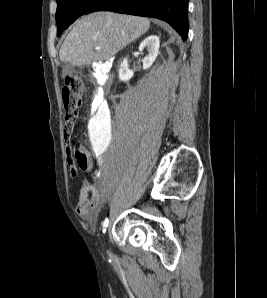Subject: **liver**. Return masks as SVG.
<instances>
[{
  "label": "liver",
  "mask_w": 267,
  "mask_h": 298,
  "mask_svg": "<svg viewBox=\"0 0 267 298\" xmlns=\"http://www.w3.org/2000/svg\"><path fill=\"white\" fill-rule=\"evenodd\" d=\"M150 21L143 17L95 12L82 17L65 38L60 60L76 66L112 58L146 33ZM100 47V50H96Z\"/></svg>",
  "instance_id": "6515ba94"
}]
</instances>
